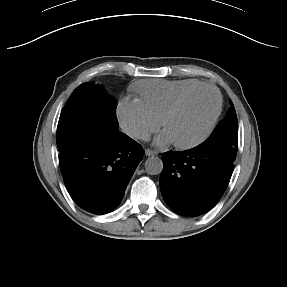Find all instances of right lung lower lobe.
<instances>
[{"mask_svg":"<svg viewBox=\"0 0 287 287\" xmlns=\"http://www.w3.org/2000/svg\"><path fill=\"white\" fill-rule=\"evenodd\" d=\"M142 146L118 129L95 127L60 152L59 163L73 200L93 214H106L122 201L142 160Z\"/></svg>","mask_w":287,"mask_h":287,"instance_id":"1","label":"right lung lower lobe"}]
</instances>
